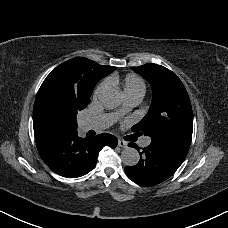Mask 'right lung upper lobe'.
Instances as JSON below:
<instances>
[{
	"instance_id": "obj_1",
	"label": "right lung upper lobe",
	"mask_w": 228,
	"mask_h": 228,
	"mask_svg": "<svg viewBox=\"0 0 228 228\" xmlns=\"http://www.w3.org/2000/svg\"><path fill=\"white\" fill-rule=\"evenodd\" d=\"M116 67L99 65L87 58L70 59L57 66L42 83L34 103L33 128L35 139L70 130L68 126L51 120L43 111L41 100L44 90L55 85L74 102L90 103V96L96 83L112 73Z\"/></svg>"
}]
</instances>
